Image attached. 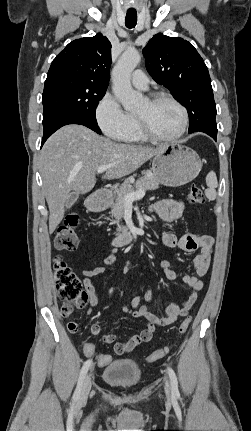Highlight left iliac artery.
I'll return each mask as SVG.
<instances>
[{"instance_id": "obj_1", "label": "left iliac artery", "mask_w": 251, "mask_h": 431, "mask_svg": "<svg viewBox=\"0 0 251 431\" xmlns=\"http://www.w3.org/2000/svg\"><path fill=\"white\" fill-rule=\"evenodd\" d=\"M168 374L171 381V387H172V394L174 396L179 397V390H178V380L176 377V374L172 368H168Z\"/></svg>"}]
</instances>
